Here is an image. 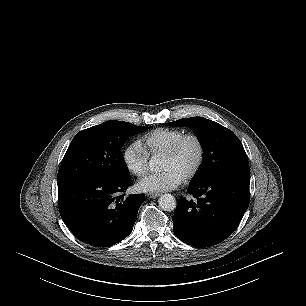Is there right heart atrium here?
Segmentation results:
<instances>
[{
  "label": "right heart atrium",
  "mask_w": 306,
  "mask_h": 306,
  "mask_svg": "<svg viewBox=\"0 0 306 306\" xmlns=\"http://www.w3.org/2000/svg\"><path fill=\"white\" fill-rule=\"evenodd\" d=\"M126 169L135 176H143L149 169V154L137 142L128 144L122 152Z\"/></svg>",
  "instance_id": "right-heart-atrium-1"
}]
</instances>
